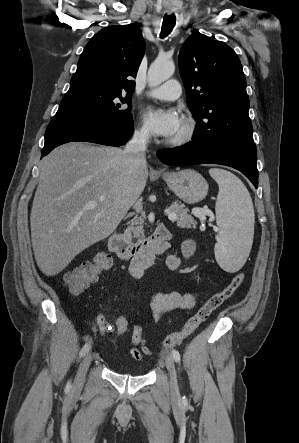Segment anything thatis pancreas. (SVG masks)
<instances>
[{
  "instance_id": "1",
  "label": "pancreas",
  "mask_w": 299,
  "mask_h": 443,
  "mask_svg": "<svg viewBox=\"0 0 299 443\" xmlns=\"http://www.w3.org/2000/svg\"><path fill=\"white\" fill-rule=\"evenodd\" d=\"M170 209L172 212L176 214V223L177 226L180 228H195L196 227V221L194 218L188 214L189 210L185 208L183 204H180L178 202H175ZM200 219L204 218L203 214L197 215ZM143 215L140 217H135L133 220L129 222L128 228L125 230V236L129 239L137 238L138 240H141L144 238V231H143Z\"/></svg>"
}]
</instances>
